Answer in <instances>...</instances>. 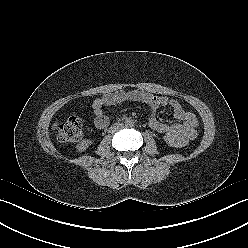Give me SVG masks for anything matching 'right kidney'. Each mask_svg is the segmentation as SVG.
<instances>
[{
    "mask_svg": "<svg viewBox=\"0 0 248 248\" xmlns=\"http://www.w3.org/2000/svg\"><path fill=\"white\" fill-rule=\"evenodd\" d=\"M91 144H92V141H91V140H89V139H84V140H82V141L76 146V148H77V150H78L79 152H83V151H85Z\"/></svg>",
    "mask_w": 248,
    "mask_h": 248,
    "instance_id": "obj_1",
    "label": "right kidney"
}]
</instances>
